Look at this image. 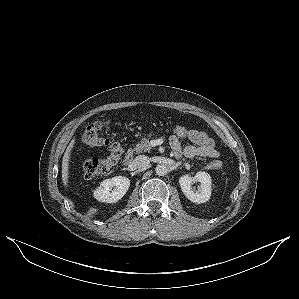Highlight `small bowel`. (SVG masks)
I'll return each instance as SVG.
<instances>
[{
  "instance_id": "obj_1",
  "label": "small bowel",
  "mask_w": 299,
  "mask_h": 299,
  "mask_svg": "<svg viewBox=\"0 0 299 299\" xmlns=\"http://www.w3.org/2000/svg\"><path fill=\"white\" fill-rule=\"evenodd\" d=\"M191 145L182 147L180 139L172 136L170 138L171 147L178 157L193 158L196 156L218 158L219 152L215 147L214 140L207 133L199 130H194L193 136L189 139Z\"/></svg>"
}]
</instances>
